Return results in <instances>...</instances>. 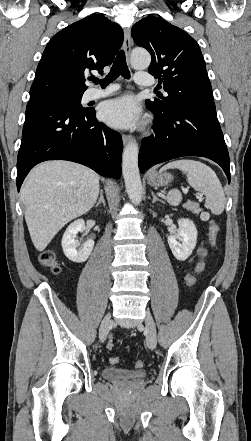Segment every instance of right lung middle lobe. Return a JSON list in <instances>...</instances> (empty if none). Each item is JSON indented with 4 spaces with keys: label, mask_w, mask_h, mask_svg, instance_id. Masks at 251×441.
Instances as JSON below:
<instances>
[{
    "label": "right lung middle lobe",
    "mask_w": 251,
    "mask_h": 441,
    "mask_svg": "<svg viewBox=\"0 0 251 441\" xmlns=\"http://www.w3.org/2000/svg\"><path fill=\"white\" fill-rule=\"evenodd\" d=\"M83 94L79 95H69V94H59L48 97L42 101H47L53 104H58L63 107L72 108L77 112H85L88 109L81 106V98Z\"/></svg>",
    "instance_id": "dd1d6c3e"
}]
</instances>
